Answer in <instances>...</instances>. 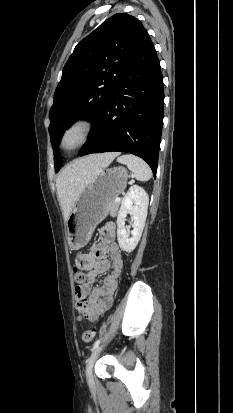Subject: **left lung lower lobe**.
<instances>
[{
  "mask_svg": "<svg viewBox=\"0 0 233 413\" xmlns=\"http://www.w3.org/2000/svg\"><path fill=\"white\" fill-rule=\"evenodd\" d=\"M163 106L160 62L146 33L79 155L109 151L132 153L144 159L156 176Z\"/></svg>",
  "mask_w": 233,
  "mask_h": 413,
  "instance_id": "1",
  "label": "left lung lower lobe"
}]
</instances>
